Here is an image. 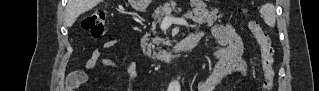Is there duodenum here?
I'll use <instances>...</instances> for the list:
<instances>
[{"label":"duodenum","instance_id":"1","mask_svg":"<svg viewBox=\"0 0 319 91\" xmlns=\"http://www.w3.org/2000/svg\"><path fill=\"white\" fill-rule=\"evenodd\" d=\"M199 35L191 34L177 43L171 50L158 54L156 60L160 62H171L173 59L186 51L193 49L198 42Z\"/></svg>","mask_w":319,"mask_h":91}]
</instances>
